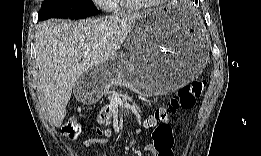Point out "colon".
Returning <instances> with one entry per match:
<instances>
[{
    "mask_svg": "<svg viewBox=\"0 0 261 156\" xmlns=\"http://www.w3.org/2000/svg\"><path fill=\"white\" fill-rule=\"evenodd\" d=\"M205 87L206 81L202 79L187 84L177 96L171 97L165 106L156 108L147 118L146 126L154 127L153 141L161 155H170L173 145L171 127L167 124L169 116L180 110L192 109ZM95 129L100 135L111 134V131L101 124L96 125ZM63 133L68 138H77L82 134V127L71 122L65 127Z\"/></svg>",
    "mask_w": 261,
    "mask_h": 156,
    "instance_id": "5ec220e1",
    "label": "colon"
}]
</instances>
